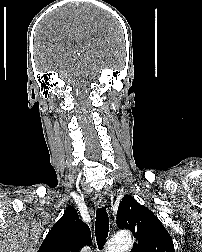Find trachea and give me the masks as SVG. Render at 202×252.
<instances>
[{
	"mask_svg": "<svg viewBox=\"0 0 202 252\" xmlns=\"http://www.w3.org/2000/svg\"><path fill=\"white\" fill-rule=\"evenodd\" d=\"M109 232V217L105 207L98 208L96 211L95 222V236L99 249L103 248V245L108 237Z\"/></svg>",
	"mask_w": 202,
	"mask_h": 252,
	"instance_id": "3493384b",
	"label": "trachea"
}]
</instances>
